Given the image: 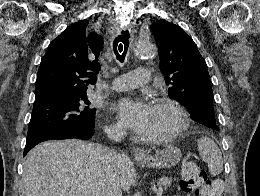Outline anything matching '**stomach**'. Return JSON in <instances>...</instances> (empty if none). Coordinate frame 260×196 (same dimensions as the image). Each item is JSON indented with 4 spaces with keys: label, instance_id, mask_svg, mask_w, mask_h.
I'll return each instance as SVG.
<instances>
[{
    "label": "stomach",
    "instance_id": "1",
    "mask_svg": "<svg viewBox=\"0 0 260 196\" xmlns=\"http://www.w3.org/2000/svg\"><path fill=\"white\" fill-rule=\"evenodd\" d=\"M182 154L176 146H164L163 150H157L154 156H148L147 160H137L141 166L146 168H172L180 162Z\"/></svg>",
    "mask_w": 260,
    "mask_h": 196
}]
</instances>
